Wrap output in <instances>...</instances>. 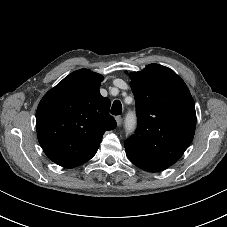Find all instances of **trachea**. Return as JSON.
Returning <instances> with one entry per match:
<instances>
[{"mask_svg":"<svg viewBox=\"0 0 227 227\" xmlns=\"http://www.w3.org/2000/svg\"><path fill=\"white\" fill-rule=\"evenodd\" d=\"M111 114L112 115H120L122 112V104L119 100H115L113 102L112 108H111Z\"/></svg>","mask_w":227,"mask_h":227,"instance_id":"3493384b","label":"trachea"}]
</instances>
